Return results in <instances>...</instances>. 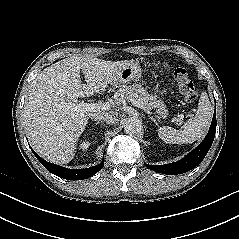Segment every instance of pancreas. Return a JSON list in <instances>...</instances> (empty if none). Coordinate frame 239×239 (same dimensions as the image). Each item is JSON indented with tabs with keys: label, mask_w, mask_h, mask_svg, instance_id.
I'll list each match as a JSON object with an SVG mask.
<instances>
[{
	"label": "pancreas",
	"mask_w": 239,
	"mask_h": 239,
	"mask_svg": "<svg viewBox=\"0 0 239 239\" xmlns=\"http://www.w3.org/2000/svg\"><path fill=\"white\" fill-rule=\"evenodd\" d=\"M114 103L117 105L122 104L126 100H134L143 105L145 109H151L153 107V101L155 97L148 94V92L138 84L122 86L114 94Z\"/></svg>",
	"instance_id": "obj_1"
}]
</instances>
